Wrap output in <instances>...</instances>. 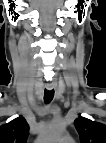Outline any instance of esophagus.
Here are the masks:
<instances>
[{
  "label": "esophagus",
  "instance_id": "obj_1",
  "mask_svg": "<svg viewBox=\"0 0 106 143\" xmlns=\"http://www.w3.org/2000/svg\"><path fill=\"white\" fill-rule=\"evenodd\" d=\"M46 88L51 91L55 88V86L54 85H47Z\"/></svg>",
  "mask_w": 106,
  "mask_h": 143
}]
</instances>
